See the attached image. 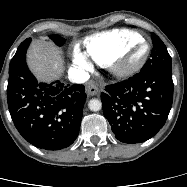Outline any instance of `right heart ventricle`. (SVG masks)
Segmentation results:
<instances>
[{
  "mask_svg": "<svg viewBox=\"0 0 187 187\" xmlns=\"http://www.w3.org/2000/svg\"><path fill=\"white\" fill-rule=\"evenodd\" d=\"M137 32L127 29H113L94 34L83 41L87 56L99 65H106L124 46L141 39Z\"/></svg>",
  "mask_w": 187,
  "mask_h": 187,
  "instance_id": "e07e8e85",
  "label": "right heart ventricle"
}]
</instances>
